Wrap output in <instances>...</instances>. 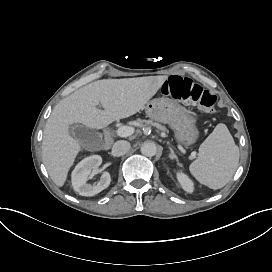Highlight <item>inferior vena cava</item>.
Masks as SVG:
<instances>
[{"instance_id": "602c4592", "label": "inferior vena cava", "mask_w": 272, "mask_h": 272, "mask_svg": "<svg viewBox=\"0 0 272 272\" xmlns=\"http://www.w3.org/2000/svg\"><path fill=\"white\" fill-rule=\"evenodd\" d=\"M129 150L130 143L125 140L116 141L112 146V154L116 157L125 155Z\"/></svg>"}]
</instances>
